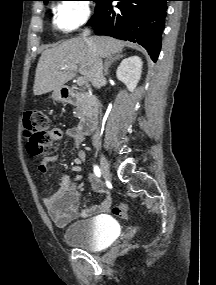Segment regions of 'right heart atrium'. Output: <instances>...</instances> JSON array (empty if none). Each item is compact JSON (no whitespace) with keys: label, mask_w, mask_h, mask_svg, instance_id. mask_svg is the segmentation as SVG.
<instances>
[{"label":"right heart atrium","mask_w":216,"mask_h":285,"mask_svg":"<svg viewBox=\"0 0 216 285\" xmlns=\"http://www.w3.org/2000/svg\"><path fill=\"white\" fill-rule=\"evenodd\" d=\"M90 5L84 0L60 2L54 15V23L60 30L71 32L85 24L90 18Z\"/></svg>","instance_id":"right-heart-atrium-1"}]
</instances>
